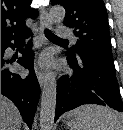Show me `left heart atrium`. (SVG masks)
Masks as SVG:
<instances>
[{
  "instance_id": "39dd6f15",
  "label": "left heart atrium",
  "mask_w": 123,
  "mask_h": 130,
  "mask_svg": "<svg viewBox=\"0 0 123 130\" xmlns=\"http://www.w3.org/2000/svg\"><path fill=\"white\" fill-rule=\"evenodd\" d=\"M42 64H47V58L42 59Z\"/></svg>"
}]
</instances>
